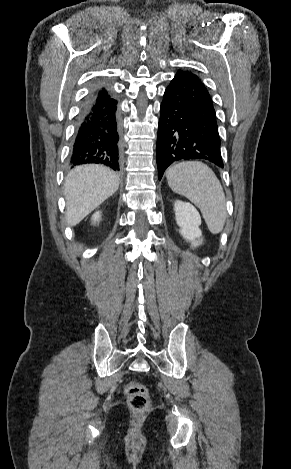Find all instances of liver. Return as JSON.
I'll return each mask as SVG.
<instances>
[{
	"label": "liver",
	"mask_w": 291,
	"mask_h": 469,
	"mask_svg": "<svg viewBox=\"0 0 291 469\" xmlns=\"http://www.w3.org/2000/svg\"><path fill=\"white\" fill-rule=\"evenodd\" d=\"M118 188V175L103 166L85 165L72 170L64 186L68 225L80 223Z\"/></svg>",
	"instance_id": "6515ba94"
}]
</instances>
